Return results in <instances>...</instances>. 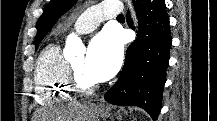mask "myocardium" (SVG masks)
Instances as JSON below:
<instances>
[{
  "label": "myocardium",
  "instance_id": "1",
  "mask_svg": "<svg viewBox=\"0 0 217 121\" xmlns=\"http://www.w3.org/2000/svg\"><path fill=\"white\" fill-rule=\"evenodd\" d=\"M67 82L70 90L79 95L91 94L98 88L96 82H85L71 63H68L67 66Z\"/></svg>",
  "mask_w": 217,
  "mask_h": 121
}]
</instances>
